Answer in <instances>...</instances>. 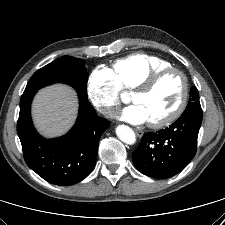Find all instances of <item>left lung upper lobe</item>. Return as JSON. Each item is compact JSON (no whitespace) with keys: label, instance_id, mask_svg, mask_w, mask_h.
Listing matches in <instances>:
<instances>
[{"label":"left lung upper lobe","instance_id":"obj_1","mask_svg":"<svg viewBox=\"0 0 225 225\" xmlns=\"http://www.w3.org/2000/svg\"><path fill=\"white\" fill-rule=\"evenodd\" d=\"M195 107H199L200 106V102H199V93L196 87L191 88L190 90V99H189V103L185 109V111L191 109V108H195Z\"/></svg>","mask_w":225,"mask_h":225}]
</instances>
